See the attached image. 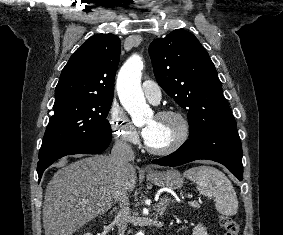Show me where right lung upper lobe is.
<instances>
[{
  "mask_svg": "<svg viewBox=\"0 0 283 235\" xmlns=\"http://www.w3.org/2000/svg\"><path fill=\"white\" fill-rule=\"evenodd\" d=\"M120 48L116 35L90 37L63 68L55 89V103L73 97L113 98Z\"/></svg>",
  "mask_w": 283,
  "mask_h": 235,
  "instance_id": "right-lung-upper-lobe-1",
  "label": "right lung upper lobe"
}]
</instances>
